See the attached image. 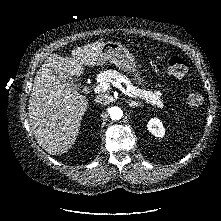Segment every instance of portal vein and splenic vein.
<instances>
[{"instance_id":"18ae733b","label":"portal vein and splenic vein","mask_w":221,"mask_h":221,"mask_svg":"<svg viewBox=\"0 0 221 221\" xmlns=\"http://www.w3.org/2000/svg\"><path fill=\"white\" fill-rule=\"evenodd\" d=\"M113 84L114 87L118 88L119 90L122 91V93H124L125 95L132 97V98H136V96L130 94L129 89H125L118 81H112L111 82ZM109 87V85H106L105 83H100L97 87H96V91H105L107 90Z\"/></svg>"}]
</instances>
